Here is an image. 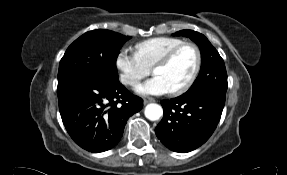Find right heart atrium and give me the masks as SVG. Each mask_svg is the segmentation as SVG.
<instances>
[{"instance_id":"d8ad5b80","label":"right heart atrium","mask_w":287,"mask_h":175,"mask_svg":"<svg viewBox=\"0 0 287 175\" xmlns=\"http://www.w3.org/2000/svg\"><path fill=\"white\" fill-rule=\"evenodd\" d=\"M116 67L119 71L120 81L126 86H135L140 80L147 77L151 69L135 52L122 49L116 57Z\"/></svg>"}]
</instances>
